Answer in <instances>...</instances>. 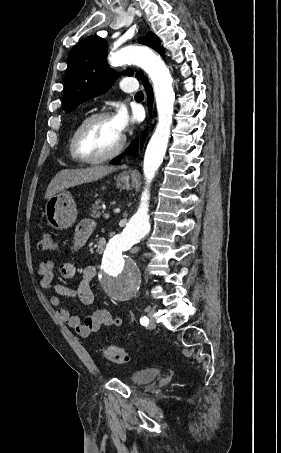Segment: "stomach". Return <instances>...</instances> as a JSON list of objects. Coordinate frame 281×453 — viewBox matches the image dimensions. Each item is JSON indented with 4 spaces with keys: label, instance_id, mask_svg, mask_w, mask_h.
<instances>
[{
    "label": "stomach",
    "instance_id": "stomach-1",
    "mask_svg": "<svg viewBox=\"0 0 281 453\" xmlns=\"http://www.w3.org/2000/svg\"><path fill=\"white\" fill-rule=\"evenodd\" d=\"M132 180V172H121L118 174L117 186L131 188ZM45 214L52 229L65 231L68 227H72L77 218V208L72 194L70 192L53 194L45 204Z\"/></svg>",
    "mask_w": 281,
    "mask_h": 453
}]
</instances>
